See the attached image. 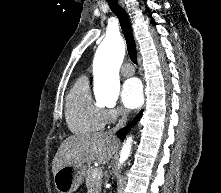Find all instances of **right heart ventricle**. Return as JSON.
I'll use <instances>...</instances> for the list:
<instances>
[{"label":"right heart ventricle","instance_id":"right-heart-ventricle-1","mask_svg":"<svg viewBox=\"0 0 221 193\" xmlns=\"http://www.w3.org/2000/svg\"><path fill=\"white\" fill-rule=\"evenodd\" d=\"M66 119L74 133H91L104 128L105 109L92 98L88 80L80 77L66 98Z\"/></svg>","mask_w":221,"mask_h":193}]
</instances>
